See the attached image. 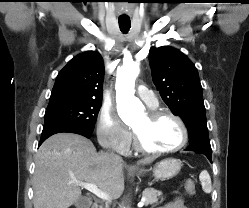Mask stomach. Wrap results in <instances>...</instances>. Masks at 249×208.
<instances>
[{
  "label": "stomach",
  "instance_id": "stomach-1",
  "mask_svg": "<svg viewBox=\"0 0 249 208\" xmlns=\"http://www.w3.org/2000/svg\"><path fill=\"white\" fill-rule=\"evenodd\" d=\"M181 169V161L174 158H167L158 162L153 168V175L157 180H167L176 176ZM146 169H139L135 171L137 175L146 173Z\"/></svg>",
  "mask_w": 249,
  "mask_h": 208
}]
</instances>
